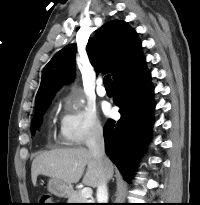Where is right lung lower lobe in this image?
<instances>
[{
  "mask_svg": "<svg viewBox=\"0 0 200 205\" xmlns=\"http://www.w3.org/2000/svg\"><path fill=\"white\" fill-rule=\"evenodd\" d=\"M145 59L114 82V103L121 119H110L104 128L105 152L127 182L133 177L136 160L147 142L153 124L154 88Z\"/></svg>",
  "mask_w": 200,
  "mask_h": 205,
  "instance_id": "obj_1",
  "label": "right lung lower lobe"
}]
</instances>
